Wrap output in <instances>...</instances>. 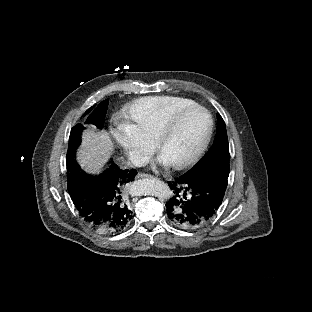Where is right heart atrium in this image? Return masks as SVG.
<instances>
[{
  "instance_id": "d8ad5b80",
  "label": "right heart atrium",
  "mask_w": 312,
  "mask_h": 312,
  "mask_svg": "<svg viewBox=\"0 0 312 312\" xmlns=\"http://www.w3.org/2000/svg\"><path fill=\"white\" fill-rule=\"evenodd\" d=\"M114 138L118 143L122 144V153L129 157L133 165L145 167L150 163L151 154L145 149L142 134L135 122L131 120L124 121L120 128L115 131Z\"/></svg>"
}]
</instances>
